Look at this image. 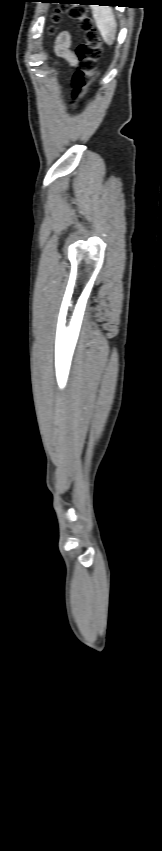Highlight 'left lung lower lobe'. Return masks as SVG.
Masks as SVG:
<instances>
[{
	"mask_svg": "<svg viewBox=\"0 0 162 851\" xmlns=\"http://www.w3.org/2000/svg\"><path fill=\"white\" fill-rule=\"evenodd\" d=\"M114 1H117V0H66L64 2H58V3H61V4H63V3H66V4L67 3H70V4L75 3V4H77L78 3L80 5L91 4V3H103V4H107V5H113V4H110V3L114 2ZM51 2L53 3L54 1H51ZM99 5H102V4H99Z\"/></svg>",
	"mask_w": 162,
	"mask_h": 851,
	"instance_id": "left-lung-lower-lobe-1",
	"label": "left lung lower lobe"
}]
</instances>
